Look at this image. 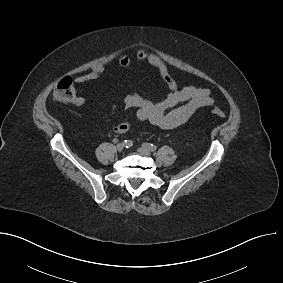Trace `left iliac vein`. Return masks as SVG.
<instances>
[{"instance_id":"4c4485c4","label":"left iliac vein","mask_w":283,"mask_h":283,"mask_svg":"<svg viewBox=\"0 0 283 283\" xmlns=\"http://www.w3.org/2000/svg\"><path fill=\"white\" fill-rule=\"evenodd\" d=\"M140 154L142 155H146V156H149L150 155V152L148 150H146L144 147H140L138 148L137 150Z\"/></svg>"}]
</instances>
